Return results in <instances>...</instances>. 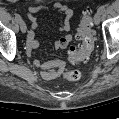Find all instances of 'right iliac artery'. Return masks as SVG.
<instances>
[{
	"label": "right iliac artery",
	"instance_id": "obj_1",
	"mask_svg": "<svg viewBox=\"0 0 119 119\" xmlns=\"http://www.w3.org/2000/svg\"><path fill=\"white\" fill-rule=\"evenodd\" d=\"M15 19L20 22L22 19H21V16L19 14H15Z\"/></svg>",
	"mask_w": 119,
	"mask_h": 119
}]
</instances>
